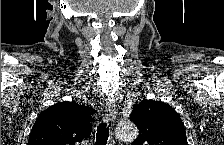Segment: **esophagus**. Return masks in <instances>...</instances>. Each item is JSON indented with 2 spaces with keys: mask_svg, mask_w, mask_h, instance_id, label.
Instances as JSON below:
<instances>
[{
  "mask_svg": "<svg viewBox=\"0 0 224 145\" xmlns=\"http://www.w3.org/2000/svg\"><path fill=\"white\" fill-rule=\"evenodd\" d=\"M115 118V105L112 102H109L106 105L104 114H103V121L108 123L110 120Z\"/></svg>",
  "mask_w": 224,
  "mask_h": 145,
  "instance_id": "34e87169",
  "label": "esophagus"
}]
</instances>
